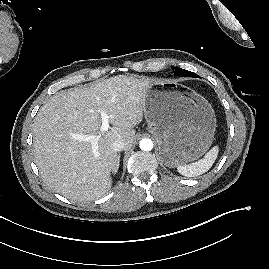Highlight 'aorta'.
Returning <instances> with one entry per match:
<instances>
[{"instance_id":"obj_1","label":"aorta","mask_w":269,"mask_h":269,"mask_svg":"<svg viewBox=\"0 0 269 269\" xmlns=\"http://www.w3.org/2000/svg\"><path fill=\"white\" fill-rule=\"evenodd\" d=\"M139 147L143 151H151L153 149V142L149 138H144L140 141Z\"/></svg>"}]
</instances>
